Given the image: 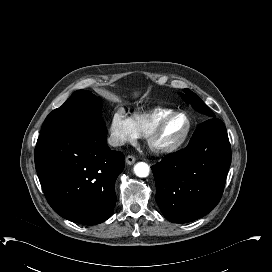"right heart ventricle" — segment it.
I'll return each instance as SVG.
<instances>
[{
	"instance_id": "right-heart-ventricle-1",
	"label": "right heart ventricle",
	"mask_w": 272,
	"mask_h": 272,
	"mask_svg": "<svg viewBox=\"0 0 272 272\" xmlns=\"http://www.w3.org/2000/svg\"><path fill=\"white\" fill-rule=\"evenodd\" d=\"M172 109H156L148 114H135L133 120L135 124L139 127L140 132L146 135L147 132L153 128L163 117L172 113Z\"/></svg>"
}]
</instances>
